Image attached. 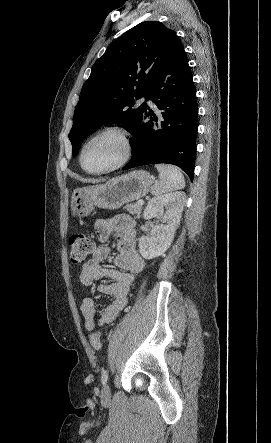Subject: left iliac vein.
Wrapping results in <instances>:
<instances>
[{
  "label": "left iliac vein",
  "mask_w": 271,
  "mask_h": 443,
  "mask_svg": "<svg viewBox=\"0 0 271 443\" xmlns=\"http://www.w3.org/2000/svg\"><path fill=\"white\" fill-rule=\"evenodd\" d=\"M110 387L108 384H105L103 389H102V393H101V398L103 400H108L110 399Z\"/></svg>",
  "instance_id": "4c4485c4"
}]
</instances>
